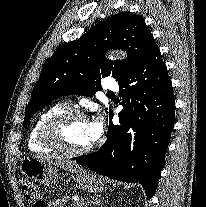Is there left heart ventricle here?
Returning <instances> with one entry per match:
<instances>
[{"label":"left heart ventricle","instance_id":"left-heart-ventricle-1","mask_svg":"<svg viewBox=\"0 0 206 207\" xmlns=\"http://www.w3.org/2000/svg\"><path fill=\"white\" fill-rule=\"evenodd\" d=\"M59 141L70 150H79L92 141L90 122L70 120L61 125L56 132Z\"/></svg>","mask_w":206,"mask_h":207}]
</instances>
